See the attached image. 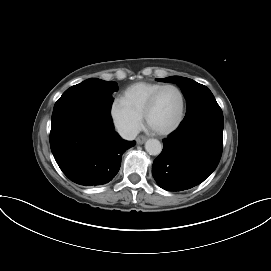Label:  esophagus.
Listing matches in <instances>:
<instances>
[{
    "instance_id": "obj_1",
    "label": "esophagus",
    "mask_w": 271,
    "mask_h": 271,
    "mask_svg": "<svg viewBox=\"0 0 271 271\" xmlns=\"http://www.w3.org/2000/svg\"><path fill=\"white\" fill-rule=\"evenodd\" d=\"M146 137L145 136H139V137H137V139H136V142H137V144H143L145 141H146Z\"/></svg>"
}]
</instances>
